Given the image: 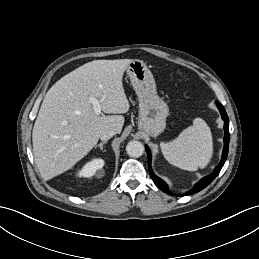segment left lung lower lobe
I'll use <instances>...</instances> for the list:
<instances>
[{
    "instance_id": "left-lung-lower-lobe-1",
    "label": "left lung lower lobe",
    "mask_w": 259,
    "mask_h": 259,
    "mask_svg": "<svg viewBox=\"0 0 259 259\" xmlns=\"http://www.w3.org/2000/svg\"><path fill=\"white\" fill-rule=\"evenodd\" d=\"M217 107L221 113V117L224 120V131H225V137H224V149H223V154H222V159L219 163V165L215 168L214 172L204 178H202L198 183L195 184V186L193 187V189H191L190 191H188L185 195H189V194H193V193H197L199 191H201L202 189H204L205 187H207L215 178L216 176L219 174L220 170L222 169L226 159H227V155H228V148H229V119L227 116V113L224 109V107L221 105V103H219L218 101H216ZM146 151H147V155H148V166H149V173L151 178L153 179L154 183L165 193L168 194H172L169 189L167 184L160 179L159 177H157L152 169H151V154H150V150L148 147H145Z\"/></svg>"
}]
</instances>
